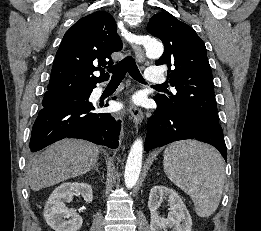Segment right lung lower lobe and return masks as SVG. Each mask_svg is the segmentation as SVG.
<instances>
[{
  "label": "right lung lower lobe",
  "mask_w": 261,
  "mask_h": 231,
  "mask_svg": "<svg viewBox=\"0 0 261 231\" xmlns=\"http://www.w3.org/2000/svg\"><path fill=\"white\" fill-rule=\"evenodd\" d=\"M93 90V89H92ZM86 99L62 103L42 108L33 125L29 147L36 152L64 138H78L105 145L118 147L121 121L109 113H95L100 103L92 104Z\"/></svg>",
  "instance_id": "obj_1"
}]
</instances>
